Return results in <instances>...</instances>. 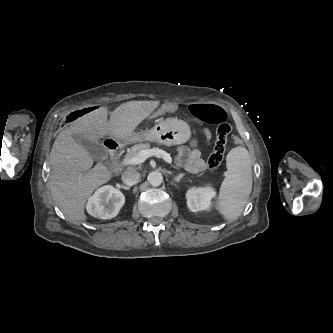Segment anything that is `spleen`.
<instances>
[{
  "mask_svg": "<svg viewBox=\"0 0 333 333\" xmlns=\"http://www.w3.org/2000/svg\"><path fill=\"white\" fill-rule=\"evenodd\" d=\"M251 163L245 147H235L227 154V175L221 184L216 206L227 221L238 218L248 202L252 190Z\"/></svg>",
  "mask_w": 333,
  "mask_h": 333,
  "instance_id": "1",
  "label": "spleen"
}]
</instances>
